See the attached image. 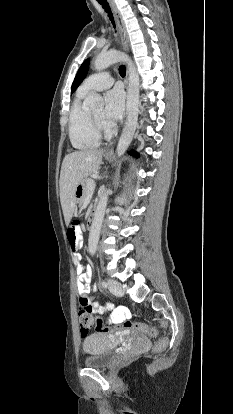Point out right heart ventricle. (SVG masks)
<instances>
[{"label": "right heart ventricle", "mask_w": 233, "mask_h": 414, "mask_svg": "<svg viewBox=\"0 0 233 414\" xmlns=\"http://www.w3.org/2000/svg\"><path fill=\"white\" fill-rule=\"evenodd\" d=\"M88 92L78 89L69 112V138L72 146L79 150L93 149L99 146L101 136L92 128L89 110L83 100Z\"/></svg>", "instance_id": "obj_1"}]
</instances>
